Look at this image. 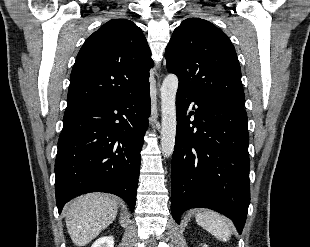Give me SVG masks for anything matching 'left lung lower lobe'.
<instances>
[{
    "label": "left lung lower lobe",
    "mask_w": 310,
    "mask_h": 247,
    "mask_svg": "<svg viewBox=\"0 0 310 247\" xmlns=\"http://www.w3.org/2000/svg\"><path fill=\"white\" fill-rule=\"evenodd\" d=\"M191 102L197 108L188 114ZM193 114L195 119L190 121ZM176 115L171 172L173 218L180 223L184 211L210 208L231 218L241 234L250 203L245 109L178 89Z\"/></svg>",
    "instance_id": "obj_1"
}]
</instances>
